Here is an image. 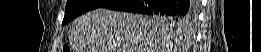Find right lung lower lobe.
<instances>
[{
  "instance_id": "1",
  "label": "right lung lower lobe",
  "mask_w": 261,
  "mask_h": 52,
  "mask_svg": "<svg viewBox=\"0 0 261 52\" xmlns=\"http://www.w3.org/2000/svg\"><path fill=\"white\" fill-rule=\"evenodd\" d=\"M103 8L148 15L188 17L195 13L192 2L185 0H110Z\"/></svg>"
}]
</instances>
